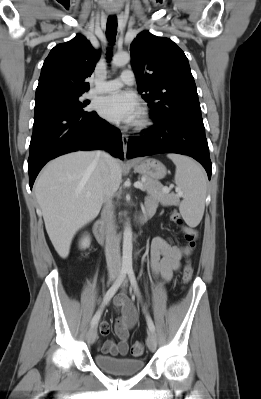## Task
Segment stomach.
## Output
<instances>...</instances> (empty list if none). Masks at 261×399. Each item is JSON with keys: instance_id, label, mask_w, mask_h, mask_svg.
<instances>
[{"instance_id": "0dacf381", "label": "stomach", "mask_w": 261, "mask_h": 399, "mask_svg": "<svg viewBox=\"0 0 261 399\" xmlns=\"http://www.w3.org/2000/svg\"><path fill=\"white\" fill-rule=\"evenodd\" d=\"M133 167L136 172L154 180L162 179L166 175L164 164L153 158L137 159L133 161Z\"/></svg>"}]
</instances>
